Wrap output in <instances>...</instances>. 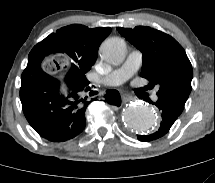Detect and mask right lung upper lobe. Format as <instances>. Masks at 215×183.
<instances>
[{
    "label": "right lung upper lobe",
    "instance_id": "cb5924a9",
    "mask_svg": "<svg viewBox=\"0 0 215 183\" xmlns=\"http://www.w3.org/2000/svg\"><path fill=\"white\" fill-rule=\"evenodd\" d=\"M110 32L109 27L89 29L84 25H69L49 35L32 50L44 59L49 54L63 53V47L69 45L82 49L87 56L96 61L98 48Z\"/></svg>",
    "mask_w": 215,
    "mask_h": 183
}]
</instances>
